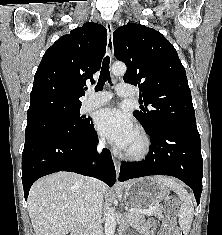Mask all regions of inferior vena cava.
Masks as SVG:
<instances>
[{
	"mask_svg": "<svg viewBox=\"0 0 222 235\" xmlns=\"http://www.w3.org/2000/svg\"><path fill=\"white\" fill-rule=\"evenodd\" d=\"M105 140L100 141L99 150L104 146ZM103 192L101 182L95 178H88L85 193V207L83 209L81 224L84 235H103L101 227Z\"/></svg>",
	"mask_w": 222,
	"mask_h": 235,
	"instance_id": "inferior-vena-cava-1",
	"label": "inferior vena cava"
}]
</instances>
